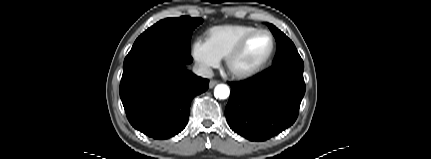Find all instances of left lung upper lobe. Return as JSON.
I'll use <instances>...</instances> for the list:
<instances>
[{
  "instance_id": "left-lung-upper-lobe-1",
  "label": "left lung upper lobe",
  "mask_w": 431,
  "mask_h": 159,
  "mask_svg": "<svg viewBox=\"0 0 431 159\" xmlns=\"http://www.w3.org/2000/svg\"><path fill=\"white\" fill-rule=\"evenodd\" d=\"M277 42V52L273 60V65L281 63H303L293 42L279 29L272 24H267Z\"/></svg>"
}]
</instances>
